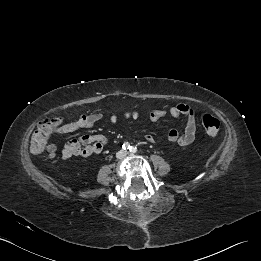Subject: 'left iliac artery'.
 <instances>
[{
	"mask_svg": "<svg viewBox=\"0 0 261 261\" xmlns=\"http://www.w3.org/2000/svg\"><path fill=\"white\" fill-rule=\"evenodd\" d=\"M130 152H132V153H136V152H137V148H136V147H133V146H131V148H130Z\"/></svg>",
	"mask_w": 261,
	"mask_h": 261,
	"instance_id": "44dca946",
	"label": "left iliac artery"
}]
</instances>
